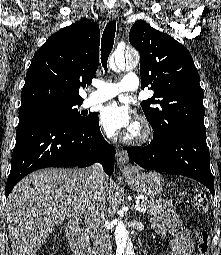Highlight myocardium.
I'll return each mask as SVG.
<instances>
[{
  "label": "myocardium",
  "instance_id": "obj_1",
  "mask_svg": "<svg viewBox=\"0 0 221 255\" xmlns=\"http://www.w3.org/2000/svg\"><path fill=\"white\" fill-rule=\"evenodd\" d=\"M152 128L148 121L139 119L134 126L126 133L124 140L127 143L140 145L150 140Z\"/></svg>",
  "mask_w": 221,
  "mask_h": 255
}]
</instances>
